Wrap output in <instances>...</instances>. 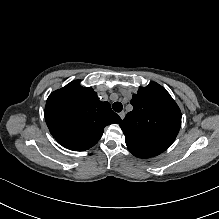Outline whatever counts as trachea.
Here are the masks:
<instances>
[{"mask_svg": "<svg viewBox=\"0 0 219 219\" xmlns=\"http://www.w3.org/2000/svg\"><path fill=\"white\" fill-rule=\"evenodd\" d=\"M112 108L115 112H121L122 109H123V105L121 102H114L113 105H112Z\"/></svg>", "mask_w": 219, "mask_h": 219, "instance_id": "obj_1", "label": "trachea"}]
</instances>
